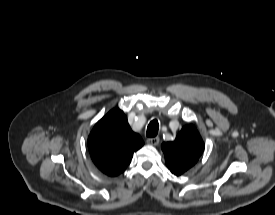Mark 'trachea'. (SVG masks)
<instances>
[{
    "mask_svg": "<svg viewBox=\"0 0 275 215\" xmlns=\"http://www.w3.org/2000/svg\"><path fill=\"white\" fill-rule=\"evenodd\" d=\"M158 129H159L158 121L156 119H154L149 123V125L147 127L146 135L148 137H155L158 133Z\"/></svg>",
    "mask_w": 275,
    "mask_h": 215,
    "instance_id": "obj_1",
    "label": "trachea"
}]
</instances>
